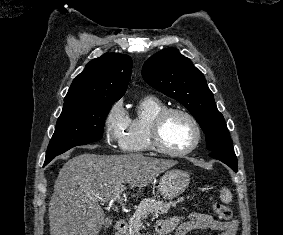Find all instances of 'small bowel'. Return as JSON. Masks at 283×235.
Masks as SVG:
<instances>
[{
    "label": "small bowel",
    "mask_w": 283,
    "mask_h": 235,
    "mask_svg": "<svg viewBox=\"0 0 283 235\" xmlns=\"http://www.w3.org/2000/svg\"><path fill=\"white\" fill-rule=\"evenodd\" d=\"M210 230L218 231L220 235H235L237 222L220 221L206 213H191L187 219L174 216L159 221L157 231L160 235L173 233L174 235H189L194 231Z\"/></svg>",
    "instance_id": "1"
}]
</instances>
